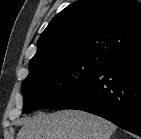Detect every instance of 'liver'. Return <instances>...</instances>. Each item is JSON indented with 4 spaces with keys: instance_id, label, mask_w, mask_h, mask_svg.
<instances>
[{
    "instance_id": "obj_1",
    "label": "liver",
    "mask_w": 141,
    "mask_h": 139,
    "mask_svg": "<svg viewBox=\"0 0 141 139\" xmlns=\"http://www.w3.org/2000/svg\"><path fill=\"white\" fill-rule=\"evenodd\" d=\"M116 126L80 110L37 113L26 118L16 139H110Z\"/></svg>"
}]
</instances>
